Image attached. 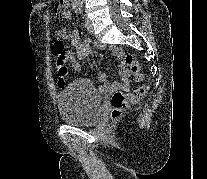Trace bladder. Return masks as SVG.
Segmentation results:
<instances>
[{"label":"bladder","mask_w":207,"mask_h":179,"mask_svg":"<svg viewBox=\"0 0 207 179\" xmlns=\"http://www.w3.org/2000/svg\"><path fill=\"white\" fill-rule=\"evenodd\" d=\"M56 102L62 119L70 125H89L102 110L101 96L88 80L70 84L57 95Z\"/></svg>","instance_id":"31cf9c89"}]
</instances>
